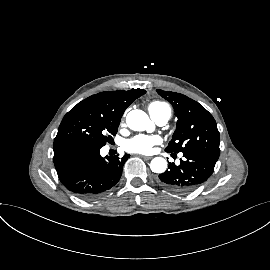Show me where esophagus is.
<instances>
[{"label":"esophagus","instance_id":"obj_1","mask_svg":"<svg viewBox=\"0 0 270 270\" xmlns=\"http://www.w3.org/2000/svg\"><path fill=\"white\" fill-rule=\"evenodd\" d=\"M145 160H150L152 157L151 156H142Z\"/></svg>","mask_w":270,"mask_h":270}]
</instances>
